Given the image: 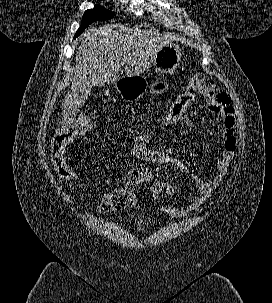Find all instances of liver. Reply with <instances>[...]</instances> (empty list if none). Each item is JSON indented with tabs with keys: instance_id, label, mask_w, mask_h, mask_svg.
<instances>
[{
	"instance_id": "6515ba94",
	"label": "liver",
	"mask_w": 272,
	"mask_h": 303,
	"mask_svg": "<svg viewBox=\"0 0 272 303\" xmlns=\"http://www.w3.org/2000/svg\"><path fill=\"white\" fill-rule=\"evenodd\" d=\"M71 92L63 101V128H70L90 95L93 86H104L120 79L125 69L127 77L146 71L158 51L172 43L170 35L122 24L91 27L80 37Z\"/></svg>"
}]
</instances>
